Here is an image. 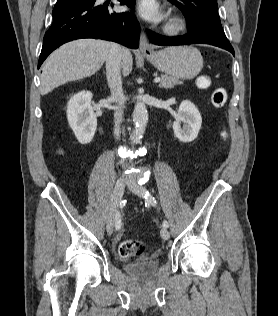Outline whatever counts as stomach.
I'll use <instances>...</instances> for the list:
<instances>
[{"label":"stomach","instance_id":"0dacf381","mask_svg":"<svg viewBox=\"0 0 278 316\" xmlns=\"http://www.w3.org/2000/svg\"><path fill=\"white\" fill-rule=\"evenodd\" d=\"M145 57L164 74L184 80L195 78L203 67L202 55L194 47H168Z\"/></svg>","mask_w":278,"mask_h":316}]
</instances>
